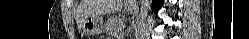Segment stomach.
<instances>
[{
    "instance_id": "stomach-1",
    "label": "stomach",
    "mask_w": 249,
    "mask_h": 39,
    "mask_svg": "<svg viewBox=\"0 0 249 39\" xmlns=\"http://www.w3.org/2000/svg\"><path fill=\"white\" fill-rule=\"evenodd\" d=\"M129 11H133V8H128ZM82 30L87 35L100 34L103 29V20L99 15H91L86 17L82 21Z\"/></svg>"
}]
</instances>
